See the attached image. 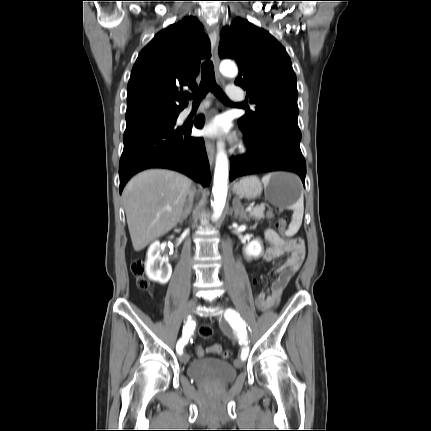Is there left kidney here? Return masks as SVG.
<instances>
[{
    "instance_id": "left-kidney-1",
    "label": "left kidney",
    "mask_w": 431,
    "mask_h": 431,
    "mask_svg": "<svg viewBox=\"0 0 431 431\" xmlns=\"http://www.w3.org/2000/svg\"><path fill=\"white\" fill-rule=\"evenodd\" d=\"M262 250L263 248L260 240L255 239L244 247V254L248 259L258 258L261 255Z\"/></svg>"
}]
</instances>
